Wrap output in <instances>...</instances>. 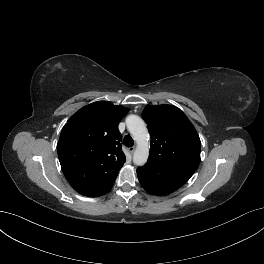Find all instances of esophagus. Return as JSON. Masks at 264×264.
Here are the masks:
<instances>
[{"label":"esophagus","instance_id":"1","mask_svg":"<svg viewBox=\"0 0 264 264\" xmlns=\"http://www.w3.org/2000/svg\"><path fill=\"white\" fill-rule=\"evenodd\" d=\"M128 151H129L130 154H133L134 151H135V147H129Z\"/></svg>","mask_w":264,"mask_h":264}]
</instances>
